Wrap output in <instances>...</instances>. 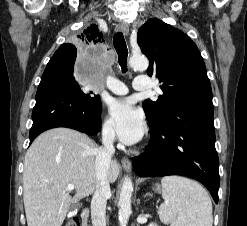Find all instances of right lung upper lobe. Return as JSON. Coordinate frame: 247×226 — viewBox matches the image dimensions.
Masks as SVG:
<instances>
[{
  "label": "right lung upper lobe",
  "instance_id": "1",
  "mask_svg": "<svg viewBox=\"0 0 247 226\" xmlns=\"http://www.w3.org/2000/svg\"><path fill=\"white\" fill-rule=\"evenodd\" d=\"M78 38L88 46L99 45L104 42V35L96 24L89 25ZM62 55H77V49L72 44H63L55 52L51 60H57Z\"/></svg>",
  "mask_w": 247,
  "mask_h": 226
}]
</instances>
